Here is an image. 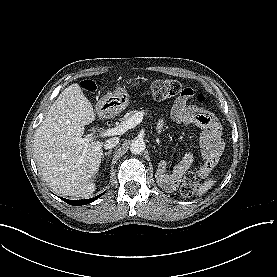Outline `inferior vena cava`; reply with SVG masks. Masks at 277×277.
<instances>
[{
	"label": "inferior vena cava",
	"mask_w": 277,
	"mask_h": 277,
	"mask_svg": "<svg viewBox=\"0 0 277 277\" xmlns=\"http://www.w3.org/2000/svg\"><path fill=\"white\" fill-rule=\"evenodd\" d=\"M119 140L120 139L118 137H112V138L107 139L104 143V148L112 149V148L116 147L119 143Z\"/></svg>",
	"instance_id": "inferior-vena-cava-1"
}]
</instances>
